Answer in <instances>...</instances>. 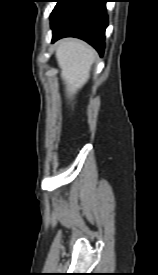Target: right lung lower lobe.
Instances as JSON below:
<instances>
[{
    "instance_id": "obj_1",
    "label": "right lung lower lobe",
    "mask_w": 158,
    "mask_h": 275,
    "mask_svg": "<svg viewBox=\"0 0 158 275\" xmlns=\"http://www.w3.org/2000/svg\"><path fill=\"white\" fill-rule=\"evenodd\" d=\"M107 0H61L51 14L52 42L77 37L92 45L102 56L108 26Z\"/></svg>"
}]
</instances>
